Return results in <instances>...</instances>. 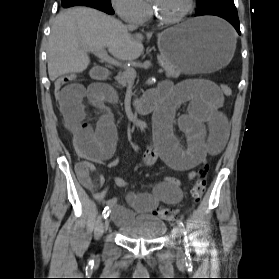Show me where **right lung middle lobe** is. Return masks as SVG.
I'll list each match as a JSON object with an SVG mask.
<instances>
[{"mask_svg": "<svg viewBox=\"0 0 279 279\" xmlns=\"http://www.w3.org/2000/svg\"><path fill=\"white\" fill-rule=\"evenodd\" d=\"M99 2H101L103 5H105L107 7H112L111 0H99Z\"/></svg>", "mask_w": 279, "mask_h": 279, "instance_id": "right-lung-middle-lobe-1", "label": "right lung middle lobe"}]
</instances>
